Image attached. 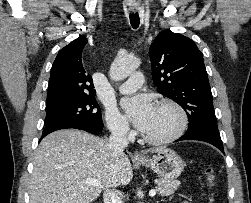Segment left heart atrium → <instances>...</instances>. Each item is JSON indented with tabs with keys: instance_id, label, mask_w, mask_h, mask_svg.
<instances>
[{
	"instance_id": "1",
	"label": "left heart atrium",
	"mask_w": 251,
	"mask_h": 203,
	"mask_svg": "<svg viewBox=\"0 0 251 203\" xmlns=\"http://www.w3.org/2000/svg\"><path fill=\"white\" fill-rule=\"evenodd\" d=\"M122 107L135 127L144 132L150 124L155 105L150 96L140 94L122 100Z\"/></svg>"
}]
</instances>
